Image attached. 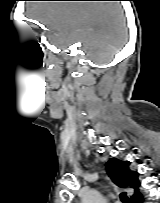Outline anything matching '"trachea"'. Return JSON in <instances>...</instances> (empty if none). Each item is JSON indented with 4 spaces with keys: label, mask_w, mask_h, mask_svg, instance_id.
I'll return each instance as SVG.
<instances>
[{
    "label": "trachea",
    "mask_w": 160,
    "mask_h": 203,
    "mask_svg": "<svg viewBox=\"0 0 160 203\" xmlns=\"http://www.w3.org/2000/svg\"><path fill=\"white\" fill-rule=\"evenodd\" d=\"M120 199H121L122 203H130V200H129L127 194L124 192L120 194Z\"/></svg>",
    "instance_id": "obj_1"
}]
</instances>
